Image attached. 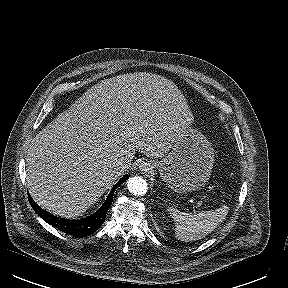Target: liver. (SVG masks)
<instances>
[{"mask_svg": "<svg viewBox=\"0 0 288 288\" xmlns=\"http://www.w3.org/2000/svg\"><path fill=\"white\" fill-rule=\"evenodd\" d=\"M193 120L178 87L145 72L119 75L94 85L31 141L26 181L33 200L56 215H82L131 165L138 150L161 158ZM126 168V169H127Z\"/></svg>", "mask_w": 288, "mask_h": 288, "instance_id": "1", "label": "liver"}]
</instances>
